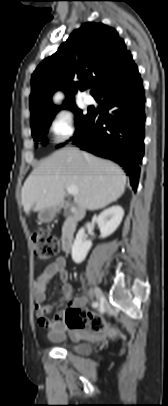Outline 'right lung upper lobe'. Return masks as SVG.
<instances>
[{"label":"right lung upper lobe","instance_id":"right-lung-upper-lobe-1","mask_svg":"<svg viewBox=\"0 0 168 406\" xmlns=\"http://www.w3.org/2000/svg\"><path fill=\"white\" fill-rule=\"evenodd\" d=\"M135 67L130 52L114 28L102 23L83 24L33 73L31 124L58 111L51 101L56 90L66 94L64 107H69L74 105L77 89L82 91L91 85V94L95 96Z\"/></svg>","mask_w":168,"mask_h":406}]
</instances>
